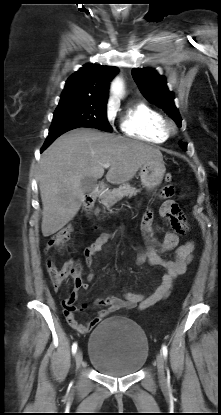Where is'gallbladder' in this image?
Listing matches in <instances>:
<instances>
[{"label":"gallbladder","instance_id":"1","mask_svg":"<svg viewBox=\"0 0 221 415\" xmlns=\"http://www.w3.org/2000/svg\"><path fill=\"white\" fill-rule=\"evenodd\" d=\"M97 185V180L94 177H84L81 180V189L84 193L91 192Z\"/></svg>","mask_w":221,"mask_h":415}]
</instances>
